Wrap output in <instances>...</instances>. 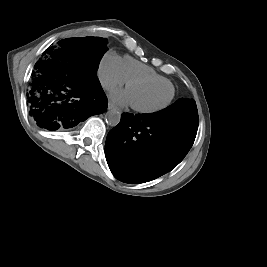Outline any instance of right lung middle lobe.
<instances>
[{"instance_id": "1", "label": "right lung middle lobe", "mask_w": 267, "mask_h": 267, "mask_svg": "<svg viewBox=\"0 0 267 267\" xmlns=\"http://www.w3.org/2000/svg\"><path fill=\"white\" fill-rule=\"evenodd\" d=\"M58 48L70 51L77 61L84 64L86 72L95 75L101 58L108 50L107 39L100 37L63 39L58 42Z\"/></svg>"}]
</instances>
